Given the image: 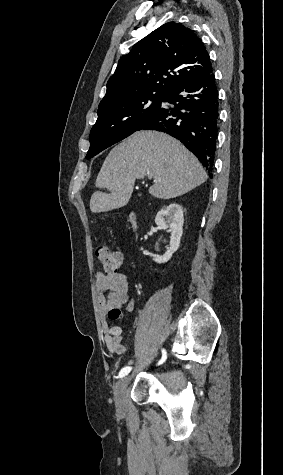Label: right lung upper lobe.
<instances>
[{"label":"right lung upper lobe","mask_w":283,"mask_h":475,"mask_svg":"<svg viewBox=\"0 0 283 475\" xmlns=\"http://www.w3.org/2000/svg\"><path fill=\"white\" fill-rule=\"evenodd\" d=\"M212 70L201 39L184 25L168 22L121 57L99 107L146 93H167L175 85Z\"/></svg>","instance_id":"1"}]
</instances>
